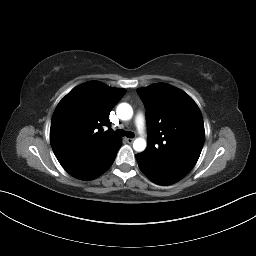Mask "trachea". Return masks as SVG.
I'll use <instances>...</instances> for the list:
<instances>
[{
	"mask_svg": "<svg viewBox=\"0 0 256 256\" xmlns=\"http://www.w3.org/2000/svg\"><path fill=\"white\" fill-rule=\"evenodd\" d=\"M116 134L119 135V136H126V137H128V138H133V137H134V133H133V132H131V131L125 132V131L122 130V129H118V130L116 131Z\"/></svg>",
	"mask_w": 256,
	"mask_h": 256,
	"instance_id": "trachea-1",
	"label": "trachea"
}]
</instances>
